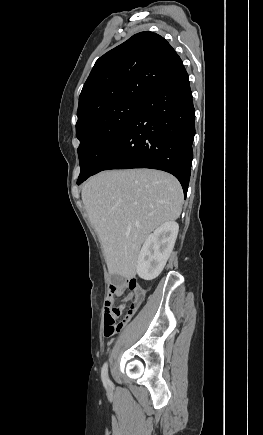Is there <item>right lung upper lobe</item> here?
<instances>
[{
  "label": "right lung upper lobe",
  "mask_w": 263,
  "mask_h": 435,
  "mask_svg": "<svg viewBox=\"0 0 263 435\" xmlns=\"http://www.w3.org/2000/svg\"><path fill=\"white\" fill-rule=\"evenodd\" d=\"M184 67L171 45L140 32L100 57L79 97L76 127L93 110L118 100L144 101Z\"/></svg>",
  "instance_id": "1"
}]
</instances>
